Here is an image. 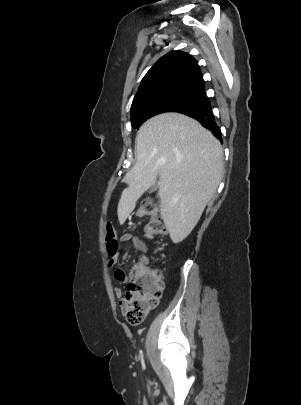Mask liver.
Listing matches in <instances>:
<instances>
[{"label":"liver","mask_w":301,"mask_h":405,"mask_svg":"<svg viewBox=\"0 0 301 405\" xmlns=\"http://www.w3.org/2000/svg\"><path fill=\"white\" fill-rule=\"evenodd\" d=\"M137 161L126 174L118 203L123 224L157 178L161 216L174 243L199 221L222 178L223 150L210 131L190 117L164 113L147 120L136 136Z\"/></svg>","instance_id":"obj_1"}]
</instances>
